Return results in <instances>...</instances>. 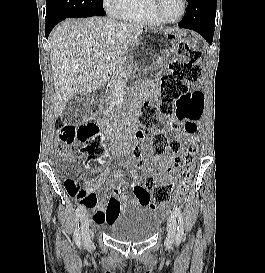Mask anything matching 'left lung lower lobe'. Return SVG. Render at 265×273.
<instances>
[{"label": "left lung lower lobe", "instance_id": "1", "mask_svg": "<svg viewBox=\"0 0 265 273\" xmlns=\"http://www.w3.org/2000/svg\"><path fill=\"white\" fill-rule=\"evenodd\" d=\"M210 9H216V0H191L183 20L178 25L197 31L209 44H212L215 23L208 24L203 20L205 13Z\"/></svg>", "mask_w": 265, "mask_h": 273}]
</instances>
